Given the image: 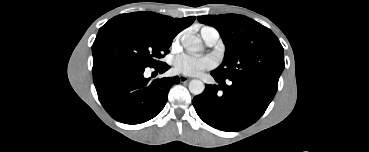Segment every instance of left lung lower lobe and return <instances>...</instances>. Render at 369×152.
<instances>
[{"label": "left lung lower lobe", "mask_w": 369, "mask_h": 152, "mask_svg": "<svg viewBox=\"0 0 369 152\" xmlns=\"http://www.w3.org/2000/svg\"><path fill=\"white\" fill-rule=\"evenodd\" d=\"M211 75L219 85H205L204 92L193 98V106L206 124L222 131H240L255 123L277 91L278 84L269 81Z\"/></svg>", "instance_id": "1"}]
</instances>
